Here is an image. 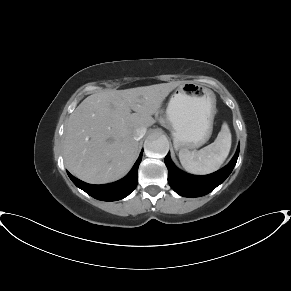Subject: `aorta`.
<instances>
[{
  "mask_svg": "<svg viewBox=\"0 0 291 291\" xmlns=\"http://www.w3.org/2000/svg\"><path fill=\"white\" fill-rule=\"evenodd\" d=\"M144 148L149 157L162 158L168 153L169 142L164 136L150 137L145 141Z\"/></svg>",
  "mask_w": 291,
  "mask_h": 291,
  "instance_id": "1",
  "label": "aorta"
}]
</instances>
